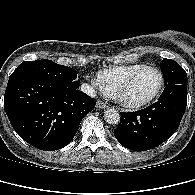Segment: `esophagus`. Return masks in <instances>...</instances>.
I'll return each instance as SVG.
<instances>
[{"label": "esophagus", "instance_id": "1", "mask_svg": "<svg viewBox=\"0 0 195 195\" xmlns=\"http://www.w3.org/2000/svg\"><path fill=\"white\" fill-rule=\"evenodd\" d=\"M96 107H97L98 109H105V108H107L108 106H107V104L104 103L103 101L98 100L97 103H96Z\"/></svg>", "mask_w": 195, "mask_h": 195}]
</instances>
